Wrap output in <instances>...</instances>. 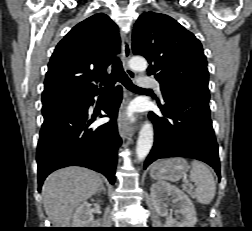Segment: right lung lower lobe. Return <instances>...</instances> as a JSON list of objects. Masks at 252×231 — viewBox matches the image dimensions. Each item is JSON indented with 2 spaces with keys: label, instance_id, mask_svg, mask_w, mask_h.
I'll use <instances>...</instances> for the list:
<instances>
[{
  "label": "right lung lower lobe",
  "instance_id": "right-lung-lower-lobe-1",
  "mask_svg": "<svg viewBox=\"0 0 252 231\" xmlns=\"http://www.w3.org/2000/svg\"><path fill=\"white\" fill-rule=\"evenodd\" d=\"M99 92L78 97L69 109L45 117L37 146L39 190L53 171L67 166H83L105 175L115 182L117 150L121 138L117 129V113L122 100V88L117 86L102 108L110 121L98 128H89L88 108Z\"/></svg>",
  "mask_w": 252,
  "mask_h": 231
}]
</instances>
